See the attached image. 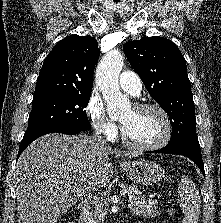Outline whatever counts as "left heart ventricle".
Returning <instances> with one entry per match:
<instances>
[{"label": "left heart ventricle", "mask_w": 221, "mask_h": 223, "mask_svg": "<svg viewBox=\"0 0 221 223\" xmlns=\"http://www.w3.org/2000/svg\"><path fill=\"white\" fill-rule=\"evenodd\" d=\"M120 122L127 137L136 143L153 144L163 135L165 125L162 117L153 110H126Z\"/></svg>", "instance_id": "1"}]
</instances>
